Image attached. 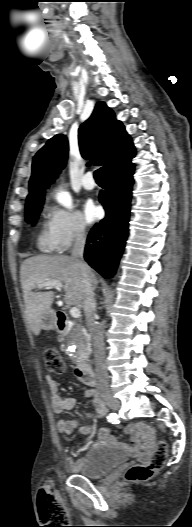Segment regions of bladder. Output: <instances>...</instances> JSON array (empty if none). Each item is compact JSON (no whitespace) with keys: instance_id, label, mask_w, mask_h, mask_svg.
I'll return each instance as SVG.
<instances>
[{"instance_id":"bladder-1","label":"bladder","mask_w":192,"mask_h":527,"mask_svg":"<svg viewBox=\"0 0 192 527\" xmlns=\"http://www.w3.org/2000/svg\"><path fill=\"white\" fill-rule=\"evenodd\" d=\"M126 453L116 446L96 445L75 462L77 474L89 479L106 476L126 460Z\"/></svg>"}]
</instances>
